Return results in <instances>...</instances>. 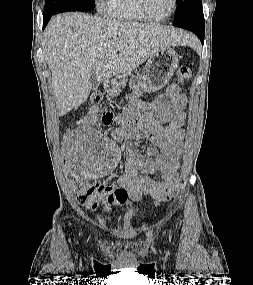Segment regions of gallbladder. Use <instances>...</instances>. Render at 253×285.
<instances>
[{"label": "gallbladder", "mask_w": 253, "mask_h": 285, "mask_svg": "<svg viewBox=\"0 0 253 285\" xmlns=\"http://www.w3.org/2000/svg\"><path fill=\"white\" fill-rule=\"evenodd\" d=\"M90 81H91V85H92V90H96L97 87H98V81H97V78H96V74L94 72H91V75H90Z\"/></svg>", "instance_id": "gallbladder-1"}]
</instances>
